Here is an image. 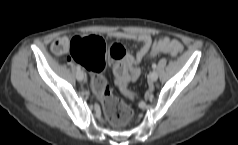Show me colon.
<instances>
[{
    "label": "colon",
    "instance_id": "obj_1",
    "mask_svg": "<svg viewBox=\"0 0 238 145\" xmlns=\"http://www.w3.org/2000/svg\"><path fill=\"white\" fill-rule=\"evenodd\" d=\"M181 51L182 48L171 40L161 39L154 44L150 56L153 57L160 53L176 56ZM70 55L75 62L93 73L91 86L101 101L108 121L116 127L126 125L132 118V110L112 93L101 75L106 64V57L109 56L114 62L115 80L118 87L128 97H134V93L128 89L129 76L128 68L124 61L125 48L119 43H113L107 49L103 39L98 36H76L70 42Z\"/></svg>",
    "mask_w": 238,
    "mask_h": 145
}]
</instances>
